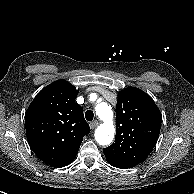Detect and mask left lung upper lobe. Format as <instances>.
<instances>
[{
    "mask_svg": "<svg viewBox=\"0 0 194 194\" xmlns=\"http://www.w3.org/2000/svg\"><path fill=\"white\" fill-rule=\"evenodd\" d=\"M162 115L144 91L130 87L118 93L116 138L103 149L109 163L132 168L144 161L155 147Z\"/></svg>",
    "mask_w": 194,
    "mask_h": 194,
    "instance_id": "left-lung-upper-lobe-1",
    "label": "left lung upper lobe"
}]
</instances>
